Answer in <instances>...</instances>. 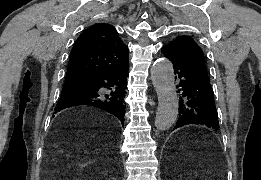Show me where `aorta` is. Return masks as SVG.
Instances as JSON below:
<instances>
[{"label":"aorta","instance_id":"1","mask_svg":"<svg viewBox=\"0 0 261 180\" xmlns=\"http://www.w3.org/2000/svg\"><path fill=\"white\" fill-rule=\"evenodd\" d=\"M151 78L158 97L155 126L158 130L165 131L176 122L179 109L171 61L167 58L157 60L151 69Z\"/></svg>","mask_w":261,"mask_h":180}]
</instances>
